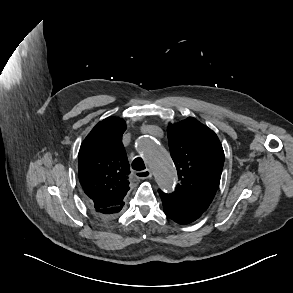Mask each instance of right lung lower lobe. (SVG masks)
I'll return each mask as SVG.
<instances>
[{
  "label": "right lung lower lobe",
  "instance_id": "obj_1",
  "mask_svg": "<svg viewBox=\"0 0 293 293\" xmlns=\"http://www.w3.org/2000/svg\"><path fill=\"white\" fill-rule=\"evenodd\" d=\"M122 207H117V208H107V209H100V210H95L96 214L100 216L101 218H111L117 214Z\"/></svg>",
  "mask_w": 293,
  "mask_h": 293
}]
</instances>
